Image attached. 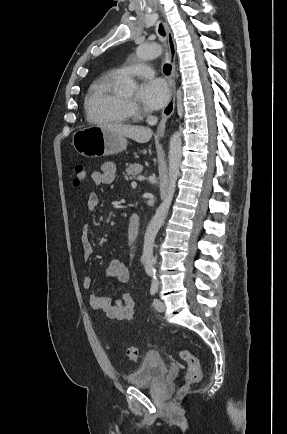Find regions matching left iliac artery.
I'll use <instances>...</instances> for the list:
<instances>
[{"instance_id": "44dca946", "label": "left iliac artery", "mask_w": 287, "mask_h": 434, "mask_svg": "<svg viewBox=\"0 0 287 434\" xmlns=\"http://www.w3.org/2000/svg\"><path fill=\"white\" fill-rule=\"evenodd\" d=\"M152 277H153V280H152V284H151L150 293H151V295H155V293L157 292V289H158V280H157L155 273H152Z\"/></svg>"}]
</instances>
